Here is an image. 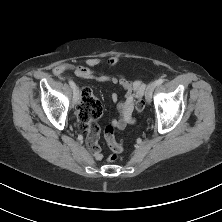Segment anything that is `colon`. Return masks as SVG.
Masks as SVG:
<instances>
[{"label":"colon","instance_id":"obj_1","mask_svg":"<svg viewBox=\"0 0 222 222\" xmlns=\"http://www.w3.org/2000/svg\"><path fill=\"white\" fill-rule=\"evenodd\" d=\"M136 109L141 112L144 109V102L138 101ZM102 113V105L97 97L88 88L82 90L81 104L78 109V126L81 130L86 131L88 123L92 119H97ZM105 139L112 150V154L108 157L110 162L116 161L118 154L123 150V145L116 141L114 137L113 127L107 126L105 130Z\"/></svg>","mask_w":222,"mask_h":222}]
</instances>
